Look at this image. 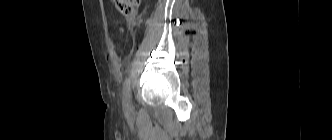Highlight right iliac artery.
Instances as JSON below:
<instances>
[{
  "mask_svg": "<svg viewBox=\"0 0 332 140\" xmlns=\"http://www.w3.org/2000/svg\"><path fill=\"white\" fill-rule=\"evenodd\" d=\"M130 103V80L126 79L123 86V107L128 109Z\"/></svg>",
  "mask_w": 332,
  "mask_h": 140,
  "instance_id": "82829eb1",
  "label": "right iliac artery"
}]
</instances>
